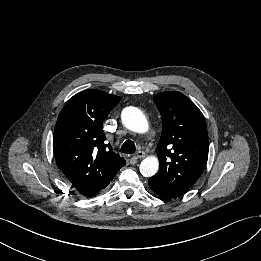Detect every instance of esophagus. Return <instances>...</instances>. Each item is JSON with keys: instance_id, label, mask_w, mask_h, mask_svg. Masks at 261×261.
<instances>
[{"instance_id": "1", "label": "esophagus", "mask_w": 261, "mask_h": 261, "mask_svg": "<svg viewBox=\"0 0 261 261\" xmlns=\"http://www.w3.org/2000/svg\"><path fill=\"white\" fill-rule=\"evenodd\" d=\"M136 159H141L143 157H145V152L144 151H138L135 156Z\"/></svg>"}]
</instances>
